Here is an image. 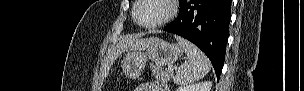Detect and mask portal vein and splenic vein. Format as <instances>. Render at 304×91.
<instances>
[{"instance_id": "portal-vein-and-splenic-vein-1", "label": "portal vein and splenic vein", "mask_w": 304, "mask_h": 91, "mask_svg": "<svg viewBox=\"0 0 304 91\" xmlns=\"http://www.w3.org/2000/svg\"><path fill=\"white\" fill-rule=\"evenodd\" d=\"M168 70L173 71V68L172 67H168Z\"/></svg>"}]
</instances>
